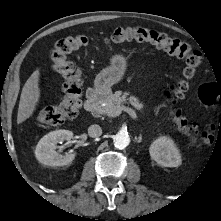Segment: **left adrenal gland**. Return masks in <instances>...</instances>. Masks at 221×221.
I'll use <instances>...</instances> for the list:
<instances>
[{
    "label": "left adrenal gland",
    "instance_id": "a2214340",
    "mask_svg": "<svg viewBox=\"0 0 221 221\" xmlns=\"http://www.w3.org/2000/svg\"><path fill=\"white\" fill-rule=\"evenodd\" d=\"M136 142H137V143L142 142V135H140V136L136 139Z\"/></svg>",
    "mask_w": 221,
    "mask_h": 221
}]
</instances>
